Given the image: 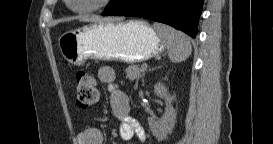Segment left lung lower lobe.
Segmentation results:
<instances>
[{
  "mask_svg": "<svg viewBox=\"0 0 273 144\" xmlns=\"http://www.w3.org/2000/svg\"><path fill=\"white\" fill-rule=\"evenodd\" d=\"M204 0H114L103 16L142 17L171 25L195 38Z\"/></svg>",
  "mask_w": 273,
  "mask_h": 144,
  "instance_id": "1",
  "label": "left lung lower lobe"
}]
</instances>
